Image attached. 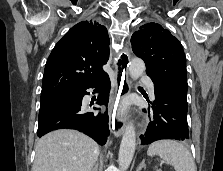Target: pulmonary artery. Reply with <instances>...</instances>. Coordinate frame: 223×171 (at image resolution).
Listing matches in <instances>:
<instances>
[{"instance_id": "1", "label": "pulmonary artery", "mask_w": 223, "mask_h": 171, "mask_svg": "<svg viewBox=\"0 0 223 171\" xmlns=\"http://www.w3.org/2000/svg\"><path fill=\"white\" fill-rule=\"evenodd\" d=\"M141 82H143L146 85L149 93L153 96L154 95V84L152 83V81L146 77H142Z\"/></svg>"}]
</instances>
